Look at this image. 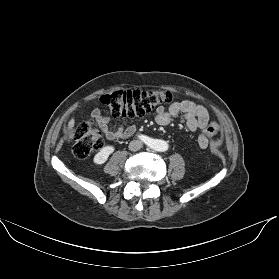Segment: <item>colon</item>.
<instances>
[{
	"label": "colon",
	"mask_w": 279,
	"mask_h": 279,
	"mask_svg": "<svg viewBox=\"0 0 279 279\" xmlns=\"http://www.w3.org/2000/svg\"><path fill=\"white\" fill-rule=\"evenodd\" d=\"M174 94L167 90H119L103 95L101 103L110 111L113 117H142L159 105L170 103ZM219 130L216 121L206 129L209 137ZM73 154L79 159L87 158L92 152L104 146L103 131L92 120L80 123L74 131Z\"/></svg>",
	"instance_id": "colon-1"
}]
</instances>
